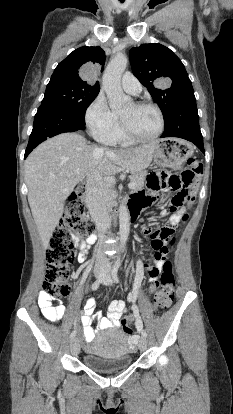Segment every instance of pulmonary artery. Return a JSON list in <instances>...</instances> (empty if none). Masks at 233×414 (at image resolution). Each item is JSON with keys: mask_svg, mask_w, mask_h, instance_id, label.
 Here are the masks:
<instances>
[{"mask_svg": "<svg viewBox=\"0 0 233 414\" xmlns=\"http://www.w3.org/2000/svg\"><path fill=\"white\" fill-rule=\"evenodd\" d=\"M121 86L124 91L137 95L141 91V84L131 72H125L121 79Z\"/></svg>", "mask_w": 233, "mask_h": 414, "instance_id": "1", "label": "pulmonary artery"}]
</instances>
